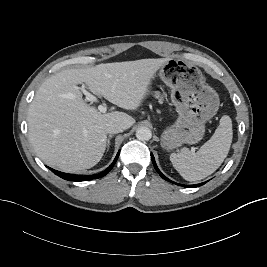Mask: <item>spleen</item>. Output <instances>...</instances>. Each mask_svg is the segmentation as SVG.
<instances>
[{
  "label": "spleen",
  "mask_w": 267,
  "mask_h": 267,
  "mask_svg": "<svg viewBox=\"0 0 267 267\" xmlns=\"http://www.w3.org/2000/svg\"><path fill=\"white\" fill-rule=\"evenodd\" d=\"M232 138L231 118L224 115L213 136L197 153H191L184 148L179 153H172L170 161L185 180L195 182L204 179L221 166L229 153Z\"/></svg>",
  "instance_id": "obj_1"
}]
</instances>
